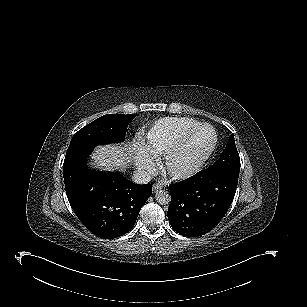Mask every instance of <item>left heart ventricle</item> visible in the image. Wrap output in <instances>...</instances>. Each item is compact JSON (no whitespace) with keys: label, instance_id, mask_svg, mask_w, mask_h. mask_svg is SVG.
<instances>
[{"label":"left heart ventricle","instance_id":"obj_1","mask_svg":"<svg viewBox=\"0 0 307 307\" xmlns=\"http://www.w3.org/2000/svg\"><path fill=\"white\" fill-rule=\"evenodd\" d=\"M209 136V133L203 132ZM202 138V139H201ZM205 136H197L190 143L183 145L177 154L170 160L172 170H185L191 168L199 160V149Z\"/></svg>","mask_w":307,"mask_h":307}]
</instances>
